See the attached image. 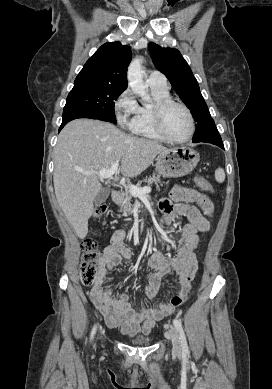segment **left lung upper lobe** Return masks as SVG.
<instances>
[{
    "mask_svg": "<svg viewBox=\"0 0 272 389\" xmlns=\"http://www.w3.org/2000/svg\"><path fill=\"white\" fill-rule=\"evenodd\" d=\"M148 49L154 65L168 78L197 123L193 142L216 130L198 82L181 53L177 49L162 48L153 42L149 43Z\"/></svg>",
    "mask_w": 272,
    "mask_h": 389,
    "instance_id": "left-lung-upper-lobe-1",
    "label": "left lung upper lobe"
}]
</instances>
